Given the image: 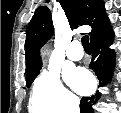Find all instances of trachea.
<instances>
[{
	"instance_id": "1",
	"label": "trachea",
	"mask_w": 121,
	"mask_h": 113,
	"mask_svg": "<svg viewBox=\"0 0 121 113\" xmlns=\"http://www.w3.org/2000/svg\"><path fill=\"white\" fill-rule=\"evenodd\" d=\"M82 45H83L85 50H90L91 49L88 36H83L82 37Z\"/></svg>"
}]
</instances>
